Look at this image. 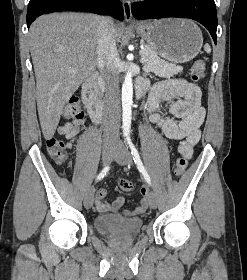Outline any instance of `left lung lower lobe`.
Here are the masks:
<instances>
[{"instance_id": "obj_1", "label": "left lung lower lobe", "mask_w": 247, "mask_h": 280, "mask_svg": "<svg viewBox=\"0 0 247 280\" xmlns=\"http://www.w3.org/2000/svg\"><path fill=\"white\" fill-rule=\"evenodd\" d=\"M136 19L190 18L200 22L217 42V14L214 0H146L131 6Z\"/></svg>"}]
</instances>
